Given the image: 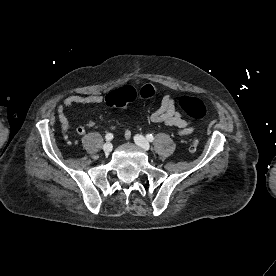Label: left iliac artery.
<instances>
[{"label": "left iliac artery", "instance_id": "1", "mask_svg": "<svg viewBox=\"0 0 276 276\" xmlns=\"http://www.w3.org/2000/svg\"><path fill=\"white\" fill-rule=\"evenodd\" d=\"M146 138H147V140L150 141V142H152V141L154 140V137H153L152 134H147V135H146Z\"/></svg>", "mask_w": 276, "mask_h": 276}]
</instances>
